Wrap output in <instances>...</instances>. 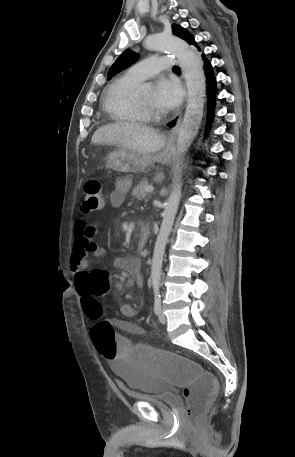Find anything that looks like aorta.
Returning a JSON list of instances; mask_svg holds the SVG:
<instances>
[{
	"instance_id": "aorta-1",
	"label": "aorta",
	"mask_w": 295,
	"mask_h": 457,
	"mask_svg": "<svg viewBox=\"0 0 295 457\" xmlns=\"http://www.w3.org/2000/svg\"><path fill=\"white\" fill-rule=\"evenodd\" d=\"M149 50H167L178 59L188 89L187 107L178 130L177 147L180 154L185 153L196 136L203 117L206 92L205 74L199 55L182 39L173 35L157 33L145 40ZM181 197V183L178 172L174 174L172 191L165 204L163 220L158 233L151 264V282L155 294L159 293L163 256L169 234L174 224Z\"/></svg>"
}]
</instances>
